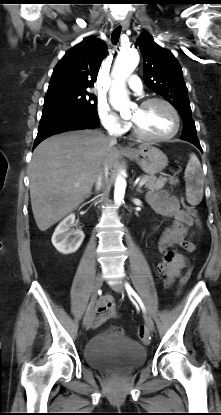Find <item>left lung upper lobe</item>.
Masks as SVG:
<instances>
[{"label": "left lung upper lobe", "instance_id": "obj_1", "mask_svg": "<svg viewBox=\"0 0 221 415\" xmlns=\"http://www.w3.org/2000/svg\"><path fill=\"white\" fill-rule=\"evenodd\" d=\"M137 43L143 55V77L146 86L177 109L183 120L182 132H196L188 90L178 61L171 51L156 44L147 32L138 38Z\"/></svg>", "mask_w": 221, "mask_h": 415}]
</instances>
